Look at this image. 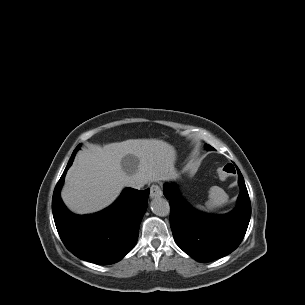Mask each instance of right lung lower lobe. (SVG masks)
<instances>
[{
    "mask_svg": "<svg viewBox=\"0 0 305 305\" xmlns=\"http://www.w3.org/2000/svg\"><path fill=\"white\" fill-rule=\"evenodd\" d=\"M74 153L58 181L52 199L57 231L66 248L80 259L108 265L122 259L136 244L139 225L148 205L149 188L125 189L108 209L78 216L70 213L60 198V188Z\"/></svg>",
    "mask_w": 305,
    "mask_h": 305,
    "instance_id": "obj_1",
    "label": "right lung lower lobe"
}]
</instances>
